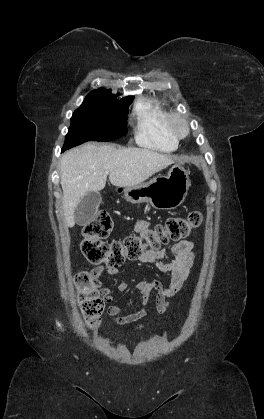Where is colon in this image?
Wrapping results in <instances>:
<instances>
[{
  "instance_id": "5ec220e1",
  "label": "colon",
  "mask_w": 264,
  "mask_h": 419,
  "mask_svg": "<svg viewBox=\"0 0 264 419\" xmlns=\"http://www.w3.org/2000/svg\"><path fill=\"white\" fill-rule=\"evenodd\" d=\"M201 221L200 212L193 211L184 217L169 218L143 235L106 242L104 239L110 234L113 224L107 212H100L84 226L80 250L90 263L117 269L126 260H138L146 251L158 250L169 241L185 238ZM75 284L83 316L90 327L98 326L105 307L104 297L88 273H80Z\"/></svg>"
}]
</instances>
